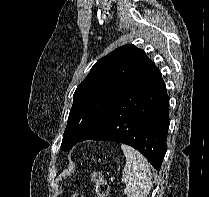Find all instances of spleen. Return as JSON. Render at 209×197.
Returning <instances> with one entry per match:
<instances>
[{"instance_id":"3e777b00","label":"spleen","mask_w":209,"mask_h":197,"mask_svg":"<svg viewBox=\"0 0 209 197\" xmlns=\"http://www.w3.org/2000/svg\"><path fill=\"white\" fill-rule=\"evenodd\" d=\"M121 149L126 157L123 175L126 177L124 194L127 197H147L152 187V173L146 158L125 144Z\"/></svg>"}]
</instances>
